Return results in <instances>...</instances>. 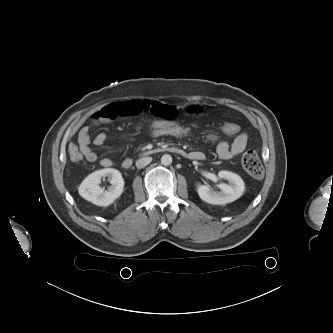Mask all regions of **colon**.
I'll return each instance as SVG.
<instances>
[{
    "label": "colon",
    "instance_id": "obj_1",
    "mask_svg": "<svg viewBox=\"0 0 333 333\" xmlns=\"http://www.w3.org/2000/svg\"><path fill=\"white\" fill-rule=\"evenodd\" d=\"M144 131L147 135L155 138H189L201 135L207 140H217L221 136L236 137L240 133V126L234 122H223L215 130L203 133L198 128L180 123L178 121H155L149 123ZM69 156L72 161H80L82 154L76 145L69 146ZM244 170L253 178L260 179L264 174V168L256 150H247L242 157Z\"/></svg>",
    "mask_w": 333,
    "mask_h": 333
}]
</instances>
